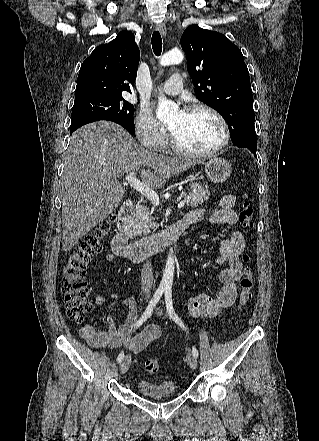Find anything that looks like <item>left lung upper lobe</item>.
<instances>
[{
	"instance_id": "5c2ea615",
	"label": "left lung upper lobe",
	"mask_w": 319,
	"mask_h": 441,
	"mask_svg": "<svg viewBox=\"0 0 319 441\" xmlns=\"http://www.w3.org/2000/svg\"><path fill=\"white\" fill-rule=\"evenodd\" d=\"M181 47L196 97L225 119L234 146L257 150L252 90L241 50L223 34L197 25L184 31Z\"/></svg>"
}]
</instances>
